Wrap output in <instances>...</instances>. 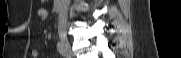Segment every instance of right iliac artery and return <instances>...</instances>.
<instances>
[{
	"label": "right iliac artery",
	"instance_id": "1",
	"mask_svg": "<svg viewBox=\"0 0 181 58\" xmlns=\"http://www.w3.org/2000/svg\"><path fill=\"white\" fill-rule=\"evenodd\" d=\"M57 50H58V52L61 54V55H63V56H65L66 55V49L64 48V46L62 45V43H58L57 44Z\"/></svg>",
	"mask_w": 181,
	"mask_h": 58
}]
</instances>
